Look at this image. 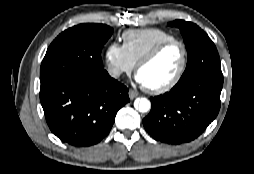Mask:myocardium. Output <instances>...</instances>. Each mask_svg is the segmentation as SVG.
Here are the masks:
<instances>
[{
	"mask_svg": "<svg viewBox=\"0 0 254 174\" xmlns=\"http://www.w3.org/2000/svg\"><path fill=\"white\" fill-rule=\"evenodd\" d=\"M172 44H178L182 49V62L181 65L176 73V75L166 84L159 86V87H148L144 86L145 90L152 94H163L171 89H173L182 79L188 63V49L185 45V43L180 39H170L167 41H164L158 45H156L154 48H152L145 56H143L136 65V71L140 70L143 66L149 64L152 62L165 48Z\"/></svg>",
	"mask_w": 254,
	"mask_h": 174,
	"instance_id": "1",
	"label": "myocardium"
}]
</instances>
